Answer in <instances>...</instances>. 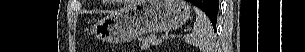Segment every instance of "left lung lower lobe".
Returning a JSON list of instances; mask_svg holds the SVG:
<instances>
[{
  "label": "left lung lower lobe",
  "instance_id": "obj_1",
  "mask_svg": "<svg viewBox=\"0 0 305 52\" xmlns=\"http://www.w3.org/2000/svg\"><path fill=\"white\" fill-rule=\"evenodd\" d=\"M188 2L198 6L204 12L208 9H218V0H188ZM213 28H216V23L213 24Z\"/></svg>",
  "mask_w": 305,
  "mask_h": 52
}]
</instances>
